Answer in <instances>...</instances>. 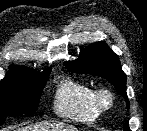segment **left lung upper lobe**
<instances>
[{"label":"left lung upper lobe","instance_id":"5c2ea615","mask_svg":"<svg viewBox=\"0 0 147 131\" xmlns=\"http://www.w3.org/2000/svg\"><path fill=\"white\" fill-rule=\"evenodd\" d=\"M65 66L74 73H88L105 78L115 86L119 94L127 98L126 75L121 69L117 55L104 42L89 45L77 60L68 61Z\"/></svg>","mask_w":147,"mask_h":131}]
</instances>
